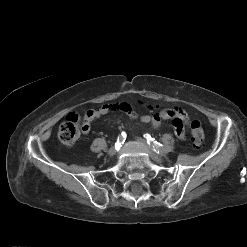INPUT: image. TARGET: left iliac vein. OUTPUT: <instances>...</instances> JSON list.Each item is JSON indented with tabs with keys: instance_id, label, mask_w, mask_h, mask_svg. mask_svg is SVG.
Returning <instances> with one entry per match:
<instances>
[{
	"instance_id": "left-iliac-vein-1",
	"label": "left iliac vein",
	"mask_w": 247,
	"mask_h": 247,
	"mask_svg": "<svg viewBox=\"0 0 247 247\" xmlns=\"http://www.w3.org/2000/svg\"><path fill=\"white\" fill-rule=\"evenodd\" d=\"M136 139H137V141H138L140 144H142V146L145 148L146 152L149 154V156H150L155 162H157V163L163 162L164 159H163L162 155L157 154V153L152 149V147L149 146V145L146 143V141H145L143 138L137 137Z\"/></svg>"
}]
</instances>
